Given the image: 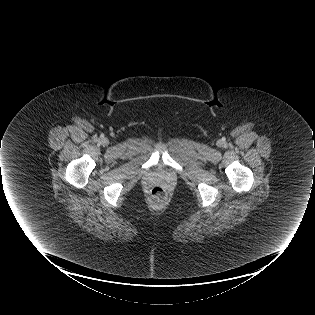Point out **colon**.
<instances>
[{
  "label": "colon",
  "mask_w": 315,
  "mask_h": 315,
  "mask_svg": "<svg viewBox=\"0 0 315 315\" xmlns=\"http://www.w3.org/2000/svg\"><path fill=\"white\" fill-rule=\"evenodd\" d=\"M150 197L155 203H162L167 198V192L161 186H154L150 190Z\"/></svg>",
  "instance_id": "colon-1"
}]
</instances>
